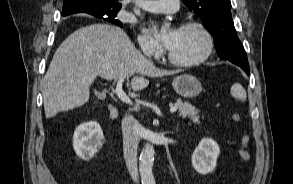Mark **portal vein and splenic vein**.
Instances as JSON below:
<instances>
[{
    "label": "portal vein and splenic vein",
    "mask_w": 293,
    "mask_h": 184,
    "mask_svg": "<svg viewBox=\"0 0 293 184\" xmlns=\"http://www.w3.org/2000/svg\"><path fill=\"white\" fill-rule=\"evenodd\" d=\"M125 77H120L118 79V83L117 86L115 88V93L117 95V97L122 100L123 102L132 105V101L130 100V98L126 95V93L123 91L122 89V83L124 82ZM178 110L177 106H173L170 108V112L171 113H175Z\"/></svg>",
    "instance_id": "18ae733b"
}]
</instances>
